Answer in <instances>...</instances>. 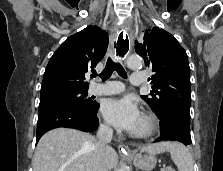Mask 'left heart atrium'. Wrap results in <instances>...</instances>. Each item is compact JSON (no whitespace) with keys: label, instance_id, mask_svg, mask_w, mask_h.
<instances>
[{"label":"left heart atrium","instance_id":"39dd6f15","mask_svg":"<svg viewBox=\"0 0 223 171\" xmlns=\"http://www.w3.org/2000/svg\"><path fill=\"white\" fill-rule=\"evenodd\" d=\"M101 112L111 125L126 132H134L141 120L138 106L129 97L104 101Z\"/></svg>","mask_w":223,"mask_h":171}]
</instances>
